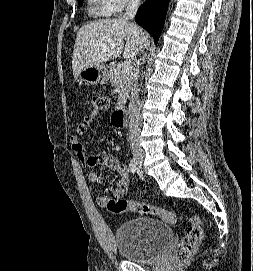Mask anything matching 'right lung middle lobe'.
<instances>
[{"label": "right lung middle lobe", "mask_w": 253, "mask_h": 271, "mask_svg": "<svg viewBox=\"0 0 253 271\" xmlns=\"http://www.w3.org/2000/svg\"><path fill=\"white\" fill-rule=\"evenodd\" d=\"M78 2H79V5L81 6L82 5L81 0H78Z\"/></svg>", "instance_id": "right-lung-middle-lobe-1"}]
</instances>
